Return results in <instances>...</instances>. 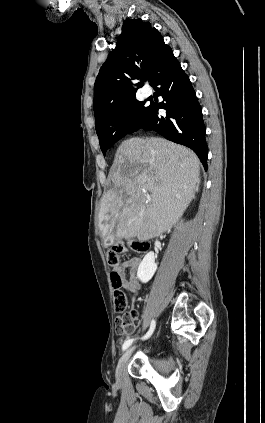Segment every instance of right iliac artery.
Returning a JSON list of instances; mask_svg holds the SVG:
<instances>
[{
    "label": "right iliac artery",
    "mask_w": 265,
    "mask_h": 423,
    "mask_svg": "<svg viewBox=\"0 0 265 423\" xmlns=\"http://www.w3.org/2000/svg\"><path fill=\"white\" fill-rule=\"evenodd\" d=\"M154 329H155V321L154 320H152V322H151V325H150V328H149V330H148V332L141 338V339H147V338H149L151 335H152V333H153V331H154ZM137 338H135V339H128V340H126L125 342H124V344H123V346H122V350L124 351V350H126L132 343H133V341H135Z\"/></svg>",
    "instance_id": "obj_1"
}]
</instances>
